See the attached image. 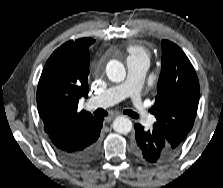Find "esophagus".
<instances>
[{
	"instance_id": "esophagus-1",
	"label": "esophagus",
	"mask_w": 223,
	"mask_h": 188,
	"mask_svg": "<svg viewBox=\"0 0 223 188\" xmlns=\"http://www.w3.org/2000/svg\"><path fill=\"white\" fill-rule=\"evenodd\" d=\"M119 114H115L114 116H110L108 118H106L107 122H111L116 116H118Z\"/></svg>"
}]
</instances>
